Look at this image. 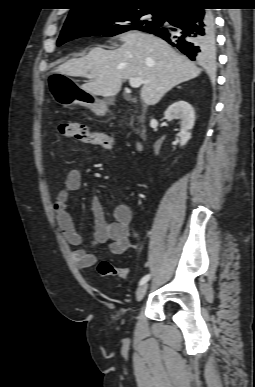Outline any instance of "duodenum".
I'll return each instance as SVG.
<instances>
[{
    "label": "duodenum",
    "mask_w": 255,
    "mask_h": 387,
    "mask_svg": "<svg viewBox=\"0 0 255 387\" xmlns=\"http://www.w3.org/2000/svg\"><path fill=\"white\" fill-rule=\"evenodd\" d=\"M136 148L139 150V149L141 148V145L138 143V144L136 145Z\"/></svg>",
    "instance_id": "1"
}]
</instances>
